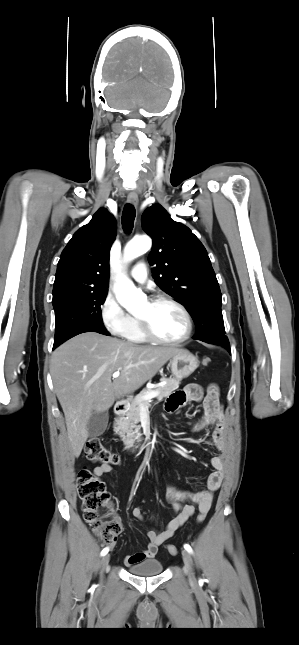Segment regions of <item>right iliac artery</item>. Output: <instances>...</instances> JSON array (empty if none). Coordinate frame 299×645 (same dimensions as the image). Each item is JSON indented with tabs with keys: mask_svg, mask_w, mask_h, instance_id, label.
<instances>
[{
	"mask_svg": "<svg viewBox=\"0 0 299 645\" xmlns=\"http://www.w3.org/2000/svg\"><path fill=\"white\" fill-rule=\"evenodd\" d=\"M109 549L106 547L101 551V555L104 556L108 553Z\"/></svg>",
	"mask_w": 299,
	"mask_h": 645,
	"instance_id": "82829eb1",
	"label": "right iliac artery"
}]
</instances>
